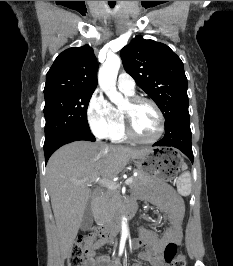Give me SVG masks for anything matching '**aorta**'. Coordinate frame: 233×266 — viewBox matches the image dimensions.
I'll list each match as a JSON object with an SVG mask.
<instances>
[{"label":"aorta","instance_id":"aorta-1","mask_svg":"<svg viewBox=\"0 0 233 266\" xmlns=\"http://www.w3.org/2000/svg\"><path fill=\"white\" fill-rule=\"evenodd\" d=\"M121 59L114 55L106 59L98 73V82L100 88L108 96L112 103L120 105L123 102V96L117 91L116 80L120 68ZM128 236V228L125 217L122 218V238Z\"/></svg>","mask_w":233,"mask_h":266}]
</instances>
